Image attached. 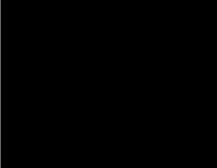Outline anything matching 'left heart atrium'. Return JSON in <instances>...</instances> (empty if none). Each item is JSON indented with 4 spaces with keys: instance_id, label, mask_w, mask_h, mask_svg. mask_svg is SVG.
I'll return each instance as SVG.
<instances>
[{
    "instance_id": "1",
    "label": "left heart atrium",
    "mask_w": 217,
    "mask_h": 168,
    "mask_svg": "<svg viewBox=\"0 0 217 168\" xmlns=\"http://www.w3.org/2000/svg\"><path fill=\"white\" fill-rule=\"evenodd\" d=\"M117 78H118V77H116V75H115L114 77H109V76H107V77H104L103 82H104V83L116 82V81H117Z\"/></svg>"
}]
</instances>
